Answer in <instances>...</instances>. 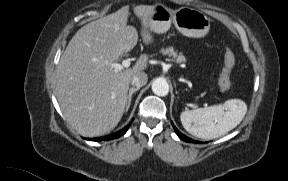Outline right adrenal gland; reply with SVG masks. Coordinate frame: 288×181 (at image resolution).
<instances>
[{
    "instance_id": "right-adrenal-gland-1",
    "label": "right adrenal gland",
    "mask_w": 288,
    "mask_h": 181,
    "mask_svg": "<svg viewBox=\"0 0 288 181\" xmlns=\"http://www.w3.org/2000/svg\"><path fill=\"white\" fill-rule=\"evenodd\" d=\"M140 88H130L129 89V94H128V102H127V107H126V111H128L130 105H131V100H132V95L138 91Z\"/></svg>"
}]
</instances>
